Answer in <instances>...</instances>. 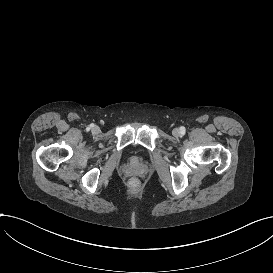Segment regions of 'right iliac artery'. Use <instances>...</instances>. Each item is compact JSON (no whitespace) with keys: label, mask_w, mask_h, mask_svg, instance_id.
Listing matches in <instances>:
<instances>
[{"label":"right iliac artery","mask_w":273,"mask_h":273,"mask_svg":"<svg viewBox=\"0 0 273 273\" xmlns=\"http://www.w3.org/2000/svg\"><path fill=\"white\" fill-rule=\"evenodd\" d=\"M92 127H94V125L90 124L89 127H87V130L89 131Z\"/></svg>","instance_id":"obj_1"}]
</instances>
